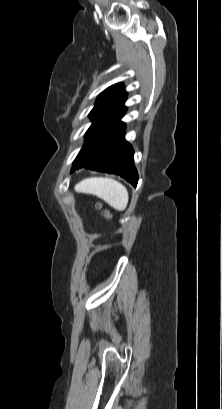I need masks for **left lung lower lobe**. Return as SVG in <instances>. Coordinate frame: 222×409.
Listing matches in <instances>:
<instances>
[{
  "instance_id": "1",
  "label": "left lung lower lobe",
  "mask_w": 222,
  "mask_h": 409,
  "mask_svg": "<svg viewBox=\"0 0 222 409\" xmlns=\"http://www.w3.org/2000/svg\"><path fill=\"white\" fill-rule=\"evenodd\" d=\"M120 118L91 140L73 162L72 171L84 167L115 173L133 186L137 185L138 174L134 166L133 149L124 139L125 124L120 122Z\"/></svg>"
}]
</instances>
